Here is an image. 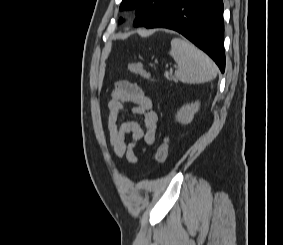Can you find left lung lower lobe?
<instances>
[{
    "label": "left lung lower lobe",
    "mask_w": 283,
    "mask_h": 245,
    "mask_svg": "<svg viewBox=\"0 0 283 245\" xmlns=\"http://www.w3.org/2000/svg\"><path fill=\"white\" fill-rule=\"evenodd\" d=\"M146 28L175 30L225 70L222 0H173Z\"/></svg>",
    "instance_id": "0a47b994"
}]
</instances>
